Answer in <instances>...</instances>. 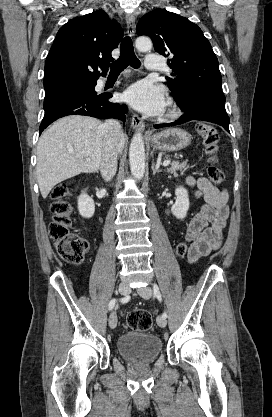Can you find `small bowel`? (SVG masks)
Wrapping results in <instances>:
<instances>
[{
    "instance_id": "small-bowel-1",
    "label": "small bowel",
    "mask_w": 272,
    "mask_h": 417,
    "mask_svg": "<svg viewBox=\"0 0 272 417\" xmlns=\"http://www.w3.org/2000/svg\"><path fill=\"white\" fill-rule=\"evenodd\" d=\"M186 183L197 197L203 198L200 211L192 217L186 227L185 239L189 242L187 257L195 263L217 250L224 240L227 224L229 194L218 189L206 177H186Z\"/></svg>"
}]
</instances>
